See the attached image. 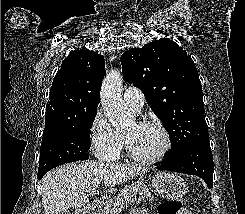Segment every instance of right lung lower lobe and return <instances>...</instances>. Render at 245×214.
<instances>
[{
  "mask_svg": "<svg viewBox=\"0 0 245 214\" xmlns=\"http://www.w3.org/2000/svg\"><path fill=\"white\" fill-rule=\"evenodd\" d=\"M45 174L38 175V179H41Z\"/></svg>",
  "mask_w": 245,
  "mask_h": 214,
  "instance_id": "98d812e1",
  "label": "right lung lower lobe"
}]
</instances>
